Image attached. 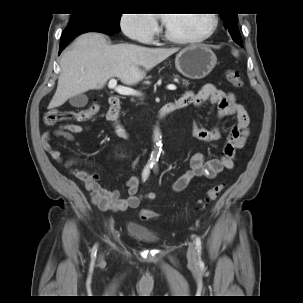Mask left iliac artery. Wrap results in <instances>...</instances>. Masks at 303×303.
I'll return each mask as SVG.
<instances>
[{"label":"left iliac artery","instance_id":"44dca946","mask_svg":"<svg viewBox=\"0 0 303 303\" xmlns=\"http://www.w3.org/2000/svg\"><path fill=\"white\" fill-rule=\"evenodd\" d=\"M196 243V248H197V256L199 257L200 260V254H201V249H202V243L200 237H197L195 240Z\"/></svg>","mask_w":303,"mask_h":303}]
</instances>
